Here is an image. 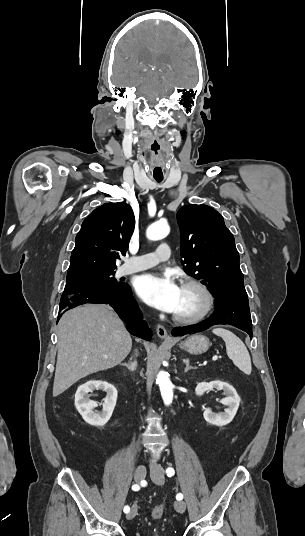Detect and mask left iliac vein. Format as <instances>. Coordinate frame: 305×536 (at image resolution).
Wrapping results in <instances>:
<instances>
[{"mask_svg":"<svg viewBox=\"0 0 305 536\" xmlns=\"http://www.w3.org/2000/svg\"><path fill=\"white\" fill-rule=\"evenodd\" d=\"M151 478L152 481L155 482L158 485L164 484L165 478H164V469L159 466H155L151 468ZM174 507L179 513H183L186 509L185 502L182 500L176 501L174 503Z\"/></svg>","mask_w":305,"mask_h":536,"instance_id":"4c4485c4","label":"left iliac vein"}]
</instances>
